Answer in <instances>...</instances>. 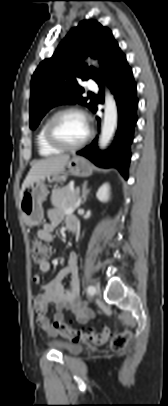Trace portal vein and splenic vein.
<instances>
[{
	"label": "portal vein and splenic vein",
	"instance_id": "portal-vein-and-splenic-vein-1",
	"mask_svg": "<svg viewBox=\"0 0 168 406\" xmlns=\"http://www.w3.org/2000/svg\"><path fill=\"white\" fill-rule=\"evenodd\" d=\"M80 205V202L78 201L73 207L68 208L67 210H65L66 214H71L74 212L75 208H77Z\"/></svg>",
	"mask_w": 168,
	"mask_h": 406
}]
</instances>
